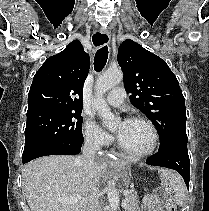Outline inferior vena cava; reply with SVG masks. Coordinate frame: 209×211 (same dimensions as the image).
<instances>
[{"mask_svg": "<svg viewBox=\"0 0 209 211\" xmlns=\"http://www.w3.org/2000/svg\"><path fill=\"white\" fill-rule=\"evenodd\" d=\"M99 150V144L95 140H87L82 148V155L78 156L76 161L92 179V189L87 202L86 211H102L99 204V189L95 184L94 169L95 155Z\"/></svg>", "mask_w": 209, "mask_h": 211, "instance_id": "inferior-vena-cava-1", "label": "inferior vena cava"}]
</instances>
